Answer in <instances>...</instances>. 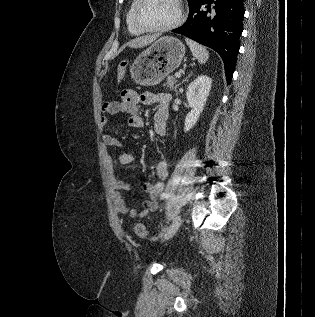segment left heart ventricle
Wrapping results in <instances>:
<instances>
[{
    "instance_id": "1",
    "label": "left heart ventricle",
    "mask_w": 315,
    "mask_h": 317,
    "mask_svg": "<svg viewBox=\"0 0 315 317\" xmlns=\"http://www.w3.org/2000/svg\"><path fill=\"white\" fill-rule=\"evenodd\" d=\"M176 0H144L138 10V20L146 27L164 26L176 19Z\"/></svg>"
}]
</instances>
